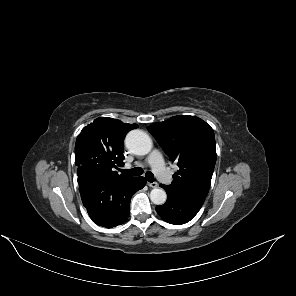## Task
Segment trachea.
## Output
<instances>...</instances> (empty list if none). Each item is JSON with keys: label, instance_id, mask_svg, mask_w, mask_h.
Listing matches in <instances>:
<instances>
[{"label": "trachea", "instance_id": "trachea-1", "mask_svg": "<svg viewBox=\"0 0 296 296\" xmlns=\"http://www.w3.org/2000/svg\"><path fill=\"white\" fill-rule=\"evenodd\" d=\"M122 173L128 175V176H140L143 173V170L140 167H136L133 169H125V170H121ZM146 179L149 182H154V175L152 172H147L145 174Z\"/></svg>", "mask_w": 296, "mask_h": 296}]
</instances>
